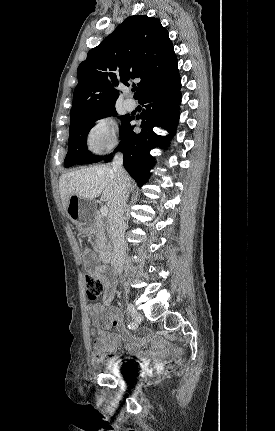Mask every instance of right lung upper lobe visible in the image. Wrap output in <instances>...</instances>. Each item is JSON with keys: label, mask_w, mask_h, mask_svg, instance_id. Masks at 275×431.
Masks as SVG:
<instances>
[{"label": "right lung upper lobe", "mask_w": 275, "mask_h": 431, "mask_svg": "<svg viewBox=\"0 0 275 431\" xmlns=\"http://www.w3.org/2000/svg\"><path fill=\"white\" fill-rule=\"evenodd\" d=\"M177 69L168 31L154 17L130 16L78 67L71 122L115 107L117 87L139 79L135 99L164 82Z\"/></svg>", "instance_id": "obj_1"}]
</instances>
